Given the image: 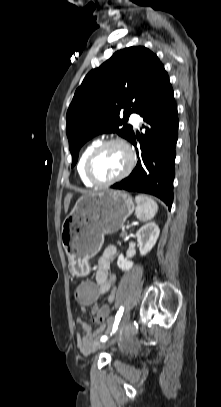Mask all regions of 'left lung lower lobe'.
<instances>
[{
	"mask_svg": "<svg viewBox=\"0 0 221 407\" xmlns=\"http://www.w3.org/2000/svg\"><path fill=\"white\" fill-rule=\"evenodd\" d=\"M147 123L139 139L141 153L133 172L111 186L147 193L160 198L171 208L175 174V147L178 139V113L173 89L166 76L151 99L138 113ZM136 145L135 135L131 139Z\"/></svg>",
	"mask_w": 221,
	"mask_h": 407,
	"instance_id": "1",
	"label": "left lung lower lobe"
}]
</instances>
